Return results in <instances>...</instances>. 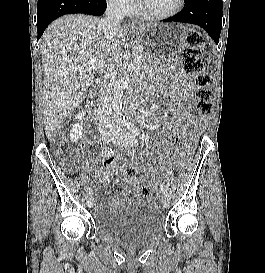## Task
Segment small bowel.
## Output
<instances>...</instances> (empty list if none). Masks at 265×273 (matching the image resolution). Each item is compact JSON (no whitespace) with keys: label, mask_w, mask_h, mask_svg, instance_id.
Wrapping results in <instances>:
<instances>
[{"label":"small bowel","mask_w":265,"mask_h":273,"mask_svg":"<svg viewBox=\"0 0 265 273\" xmlns=\"http://www.w3.org/2000/svg\"><path fill=\"white\" fill-rule=\"evenodd\" d=\"M178 123V119H173L170 122V127L174 128ZM77 156H82L83 155V151L79 150L77 151ZM118 164V160L115 157H107L104 160L103 166L106 169L105 171V176H109L111 174V172L116 168ZM103 169L102 168H97V172L100 173L102 172ZM127 183L132 187L133 189V197L132 198H124L121 199L122 203H126L128 201L131 200H140L142 198V195L140 193V184H141V179L137 176L131 177L128 179Z\"/></svg>","instance_id":"c3829d8e"}]
</instances>
